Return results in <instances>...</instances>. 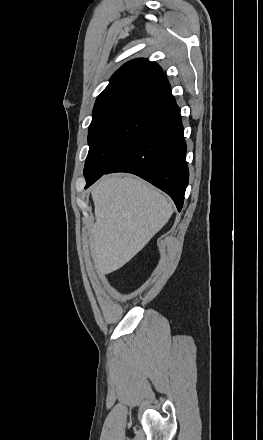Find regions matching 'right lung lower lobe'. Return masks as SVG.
<instances>
[{
  "mask_svg": "<svg viewBox=\"0 0 263 440\" xmlns=\"http://www.w3.org/2000/svg\"><path fill=\"white\" fill-rule=\"evenodd\" d=\"M180 108L171 96L104 174L128 172L166 192L180 211L189 180ZM101 176L87 180L86 188Z\"/></svg>",
  "mask_w": 263,
  "mask_h": 440,
  "instance_id": "obj_1",
  "label": "right lung lower lobe"
}]
</instances>
